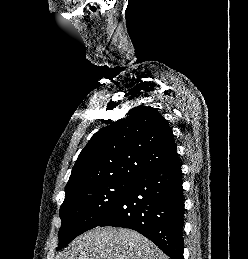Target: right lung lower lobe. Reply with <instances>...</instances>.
Instances as JSON below:
<instances>
[{"mask_svg":"<svg viewBox=\"0 0 248 259\" xmlns=\"http://www.w3.org/2000/svg\"><path fill=\"white\" fill-rule=\"evenodd\" d=\"M179 159L131 182L121 200L97 226L138 231L171 259H183L184 202Z\"/></svg>","mask_w":248,"mask_h":259,"instance_id":"1","label":"right lung lower lobe"}]
</instances>
